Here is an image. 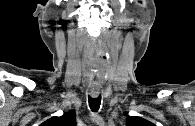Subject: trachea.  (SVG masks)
<instances>
[{"label":"trachea","mask_w":195,"mask_h":126,"mask_svg":"<svg viewBox=\"0 0 195 126\" xmlns=\"http://www.w3.org/2000/svg\"><path fill=\"white\" fill-rule=\"evenodd\" d=\"M89 107L93 112L98 111L100 104H101V96H98L96 98H92L91 96H89Z\"/></svg>","instance_id":"1"}]
</instances>
